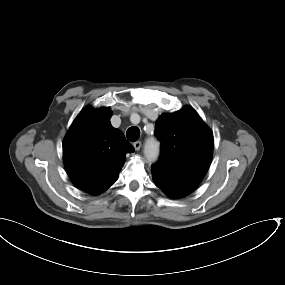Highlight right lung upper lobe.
I'll use <instances>...</instances> for the list:
<instances>
[{
    "mask_svg": "<svg viewBox=\"0 0 285 285\" xmlns=\"http://www.w3.org/2000/svg\"><path fill=\"white\" fill-rule=\"evenodd\" d=\"M107 107H87L72 123L63 142L66 172L73 184L92 195L114 184L127 153L134 152L124 134L110 123Z\"/></svg>",
    "mask_w": 285,
    "mask_h": 285,
    "instance_id": "right-lung-upper-lobe-1",
    "label": "right lung upper lobe"
}]
</instances>
